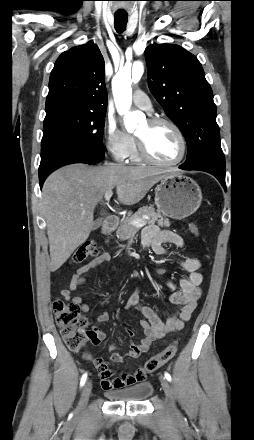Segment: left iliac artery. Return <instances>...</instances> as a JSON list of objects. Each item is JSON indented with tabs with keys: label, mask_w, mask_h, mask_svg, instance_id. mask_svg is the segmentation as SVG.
Segmentation results:
<instances>
[{
	"label": "left iliac artery",
	"mask_w": 254,
	"mask_h": 440,
	"mask_svg": "<svg viewBox=\"0 0 254 440\" xmlns=\"http://www.w3.org/2000/svg\"><path fill=\"white\" fill-rule=\"evenodd\" d=\"M165 378H166L168 381H171V380H172V378H171V376H170L169 373H165Z\"/></svg>",
	"instance_id": "obj_1"
}]
</instances>
